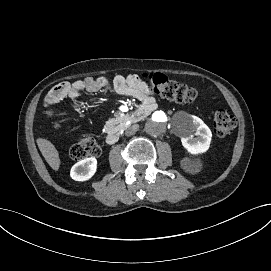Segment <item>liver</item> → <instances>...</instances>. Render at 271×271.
<instances>
[{
	"label": "liver",
	"mask_w": 271,
	"mask_h": 271,
	"mask_svg": "<svg viewBox=\"0 0 271 271\" xmlns=\"http://www.w3.org/2000/svg\"><path fill=\"white\" fill-rule=\"evenodd\" d=\"M37 144L48 164L54 170H57L59 167V157L53 145L50 142L43 139H38Z\"/></svg>",
	"instance_id": "liver-1"
}]
</instances>
